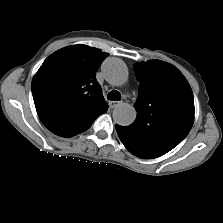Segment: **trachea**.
Wrapping results in <instances>:
<instances>
[{
	"label": "trachea",
	"instance_id": "3493384b",
	"mask_svg": "<svg viewBox=\"0 0 223 223\" xmlns=\"http://www.w3.org/2000/svg\"><path fill=\"white\" fill-rule=\"evenodd\" d=\"M108 100H121V94L117 90H112L108 93Z\"/></svg>",
	"mask_w": 223,
	"mask_h": 223
}]
</instances>
